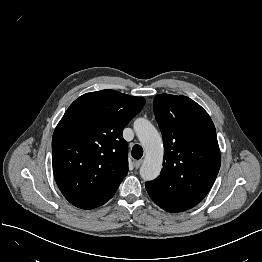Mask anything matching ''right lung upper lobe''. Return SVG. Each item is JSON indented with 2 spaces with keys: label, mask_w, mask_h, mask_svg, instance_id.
Wrapping results in <instances>:
<instances>
[{
  "label": "right lung upper lobe",
  "mask_w": 262,
  "mask_h": 262,
  "mask_svg": "<svg viewBox=\"0 0 262 262\" xmlns=\"http://www.w3.org/2000/svg\"><path fill=\"white\" fill-rule=\"evenodd\" d=\"M145 99L115 90L90 92L75 100L52 138L53 173L65 198L93 209L113 197L128 172L124 127Z\"/></svg>",
  "instance_id": "1"
}]
</instances>
